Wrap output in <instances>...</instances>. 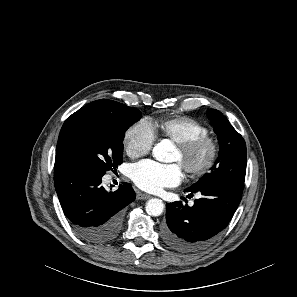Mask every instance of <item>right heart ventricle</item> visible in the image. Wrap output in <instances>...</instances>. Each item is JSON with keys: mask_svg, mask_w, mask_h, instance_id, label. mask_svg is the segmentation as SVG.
<instances>
[{"mask_svg": "<svg viewBox=\"0 0 297 297\" xmlns=\"http://www.w3.org/2000/svg\"><path fill=\"white\" fill-rule=\"evenodd\" d=\"M151 126L155 134L176 144L209 134L206 125L188 116L163 117Z\"/></svg>", "mask_w": 297, "mask_h": 297, "instance_id": "right-heart-ventricle-1", "label": "right heart ventricle"}]
</instances>
